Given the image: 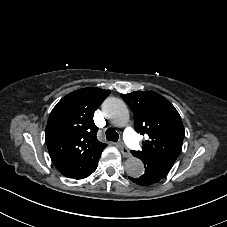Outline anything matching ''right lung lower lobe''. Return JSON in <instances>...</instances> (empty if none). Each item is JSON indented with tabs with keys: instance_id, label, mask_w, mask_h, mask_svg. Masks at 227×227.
I'll return each instance as SVG.
<instances>
[{
	"instance_id": "1",
	"label": "right lung lower lobe",
	"mask_w": 227,
	"mask_h": 227,
	"mask_svg": "<svg viewBox=\"0 0 227 227\" xmlns=\"http://www.w3.org/2000/svg\"><path fill=\"white\" fill-rule=\"evenodd\" d=\"M99 158L88 163L87 156L85 154H80L70 164L64 166L63 169L58 170L68 178H86L96 170Z\"/></svg>"
}]
</instances>
